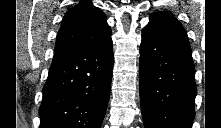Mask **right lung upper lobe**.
I'll return each instance as SVG.
<instances>
[{"instance_id": "1", "label": "right lung upper lobe", "mask_w": 221, "mask_h": 128, "mask_svg": "<svg viewBox=\"0 0 221 128\" xmlns=\"http://www.w3.org/2000/svg\"><path fill=\"white\" fill-rule=\"evenodd\" d=\"M112 34L106 15L87 0L69 9L57 34L54 51L98 46Z\"/></svg>"}]
</instances>
